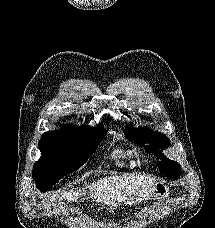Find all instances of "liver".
I'll use <instances>...</instances> for the list:
<instances>
[{
	"label": "liver",
	"instance_id": "6515ba94",
	"mask_svg": "<svg viewBox=\"0 0 215 228\" xmlns=\"http://www.w3.org/2000/svg\"><path fill=\"white\" fill-rule=\"evenodd\" d=\"M154 186H156L155 180H151L148 176H109V178H99L97 182H93L91 186H86L82 190H68L64 192L63 196L60 194H54V196H49L57 202L61 200H68V202H77L78 198L82 200H87L83 198L85 196L84 192L88 190L89 198H92L91 202H96L97 206H102L106 208L109 206L108 210H112L110 214H113L114 210L119 208L120 204H128V206H133L135 202H141V200H150L154 192ZM48 198V202H50Z\"/></svg>",
	"mask_w": 215,
	"mask_h": 228
}]
</instances>
